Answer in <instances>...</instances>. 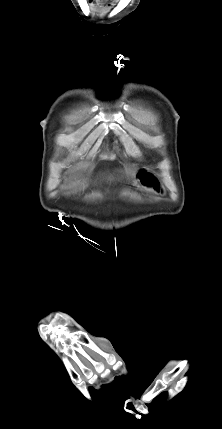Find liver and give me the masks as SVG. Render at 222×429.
I'll return each instance as SVG.
<instances>
[{"instance_id": "1", "label": "liver", "mask_w": 222, "mask_h": 429, "mask_svg": "<svg viewBox=\"0 0 222 429\" xmlns=\"http://www.w3.org/2000/svg\"><path fill=\"white\" fill-rule=\"evenodd\" d=\"M125 173H126V175H127V176H128V175H133V172L128 171V170H126V171H125Z\"/></svg>"}]
</instances>
